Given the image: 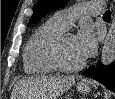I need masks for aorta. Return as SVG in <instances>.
<instances>
[{"label": "aorta", "mask_w": 115, "mask_h": 99, "mask_svg": "<svg viewBox=\"0 0 115 99\" xmlns=\"http://www.w3.org/2000/svg\"><path fill=\"white\" fill-rule=\"evenodd\" d=\"M113 61H115V15L105 39L101 54L102 64L109 65Z\"/></svg>", "instance_id": "aorta-1"}]
</instances>
